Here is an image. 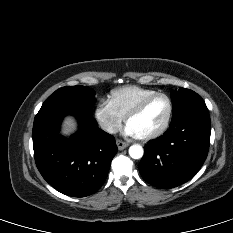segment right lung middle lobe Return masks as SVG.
I'll use <instances>...</instances> for the list:
<instances>
[{"mask_svg": "<svg viewBox=\"0 0 233 233\" xmlns=\"http://www.w3.org/2000/svg\"><path fill=\"white\" fill-rule=\"evenodd\" d=\"M95 91L85 86L62 87L50 95L39 112L50 109H68L92 115Z\"/></svg>", "mask_w": 233, "mask_h": 233, "instance_id": "1", "label": "right lung middle lobe"}]
</instances>
